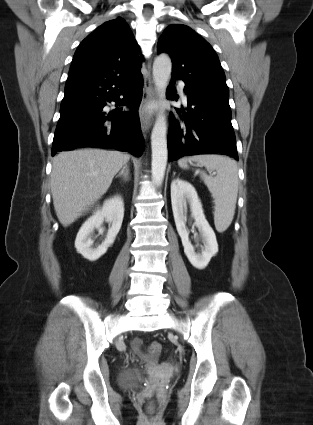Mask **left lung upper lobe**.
I'll use <instances>...</instances> for the list:
<instances>
[{"mask_svg": "<svg viewBox=\"0 0 313 425\" xmlns=\"http://www.w3.org/2000/svg\"><path fill=\"white\" fill-rule=\"evenodd\" d=\"M158 53L172 59V75L186 85L229 96L224 71L211 45L190 27L171 24L161 36Z\"/></svg>", "mask_w": 313, "mask_h": 425, "instance_id": "1", "label": "left lung upper lobe"}]
</instances>
